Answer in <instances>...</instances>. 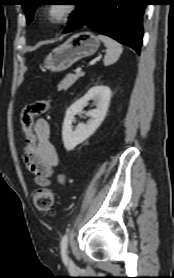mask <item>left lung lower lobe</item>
Wrapping results in <instances>:
<instances>
[{
    "label": "left lung lower lobe",
    "mask_w": 174,
    "mask_h": 278,
    "mask_svg": "<svg viewBox=\"0 0 174 278\" xmlns=\"http://www.w3.org/2000/svg\"><path fill=\"white\" fill-rule=\"evenodd\" d=\"M147 0H84L63 33L87 26L140 52Z\"/></svg>",
    "instance_id": "1"
}]
</instances>
